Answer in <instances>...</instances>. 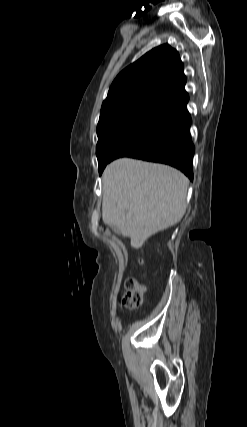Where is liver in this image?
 <instances>
[{"label":"liver","mask_w":247,"mask_h":427,"mask_svg":"<svg viewBox=\"0 0 247 427\" xmlns=\"http://www.w3.org/2000/svg\"><path fill=\"white\" fill-rule=\"evenodd\" d=\"M102 182V219L134 248L185 214L189 181L170 166L120 158L107 165Z\"/></svg>","instance_id":"obj_1"}]
</instances>
